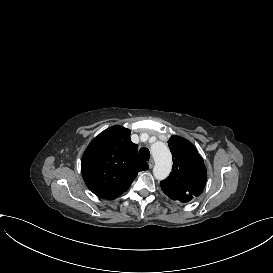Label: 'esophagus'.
I'll list each match as a JSON object with an SVG mask.
<instances>
[{
    "label": "esophagus",
    "instance_id": "34e87169",
    "mask_svg": "<svg viewBox=\"0 0 273 273\" xmlns=\"http://www.w3.org/2000/svg\"><path fill=\"white\" fill-rule=\"evenodd\" d=\"M149 168L150 169H152L153 168V166H154V160L151 158L150 160H149Z\"/></svg>",
    "mask_w": 273,
    "mask_h": 273
}]
</instances>
